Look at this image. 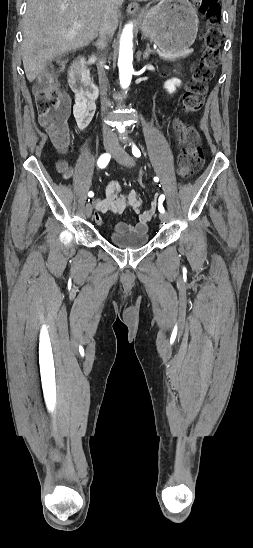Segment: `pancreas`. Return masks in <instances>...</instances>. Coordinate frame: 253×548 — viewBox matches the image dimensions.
Returning <instances> with one entry per match:
<instances>
[{
    "mask_svg": "<svg viewBox=\"0 0 253 548\" xmlns=\"http://www.w3.org/2000/svg\"><path fill=\"white\" fill-rule=\"evenodd\" d=\"M191 51L186 50L183 53H171L163 50H157L159 56L164 60H177L183 57H186L190 54Z\"/></svg>",
    "mask_w": 253,
    "mask_h": 548,
    "instance_id": "pancreas-1",
    "label": "pancreas"
}]
</instances>
